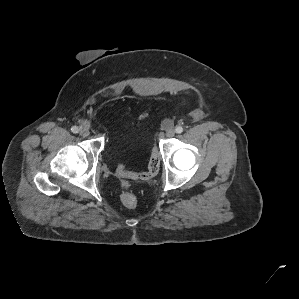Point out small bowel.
Returning a JSON list of instances; mask_svg holds the SVG:
<instances>
[{
    "mask_svg": "<svg viewBox=\"0 0 299 299\" xmlns=\"http://www.w3.org/2000/svg\"><path fill=\"white\" fill-rule=\"evenodd\" d=\"M130 112H131V107H128V108H127V113L130 114ZM148 115H149V110H146V111L142 112V113L138 116V121H139V122L144 121V120L148 117Z\"/></svg>",
    "mask_w": 299,
    "mask_h": 299,
    "instance_id": "1",
    "label": "small bowel"
}]
</instances>
